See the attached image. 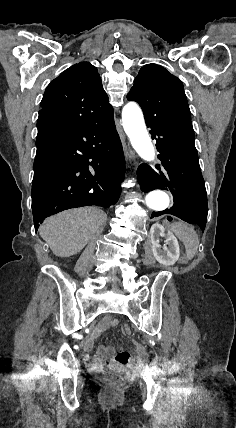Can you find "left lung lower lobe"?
Instances as JSON below:
<instances>
[{
    "label": "left lung lower lobe",
    "instance_id": "1",
    "mask_svg": "<svg viewBox=\"0 0 236 428\" xmlns=\"http://www.w3.org/2000/svg\"><path fill=\"white\" fill-rule=\"evenodd\" d=\"M156 140L158 158L162 167L142 164L137 170L143 192L155 189L170 191L174 205L164 211L153 212L151 218L162 214L174 215L204 231L207 222V194L201 173L194 138L181 133L170 125L146 122Z\"/></svg>",
    "mask_w": 236,
    "mask_h": 428
}]
</instances>
